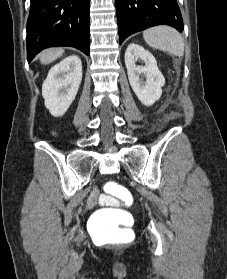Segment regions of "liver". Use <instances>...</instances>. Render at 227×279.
<instances>
[{"mask_svg":"<svg viewBox=\"0 0 227 279\" xmlns=\"http://www.w3.org/2000/svg\"><path fill=\"white\" fill-rule=\"evenodd\" d=\"M64 50L62 48H53L43 51L40 55V62L42 64H49L62 56Z\"/></svg>","mask_w":227,"mask_h":279,"instance_id":"1","label":"liver"}]
</instances>
